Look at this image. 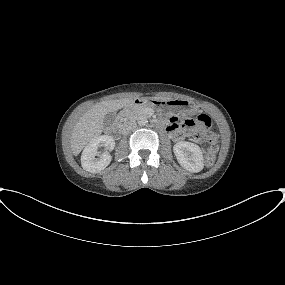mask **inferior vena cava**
Instances as JSON below:
<instances>
[{"mask_svg":"<svg viewBox=\"0 0 285 285\" xmlns=\"http://www.w3.org/2000/svg\"><path fill=\"white\" fill-rule=\"evenodd\" d=\"M136 127H137L136 122H127V123H124L123 126H122V133H123V134H127V133H129L130 131L134 130Z\"/></svg>","mask_w":285,"mask_h":285,"instance_id":"obj_1","label":"inferior vena cava"}]
</instances>
